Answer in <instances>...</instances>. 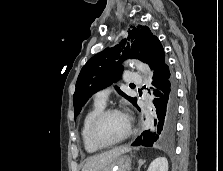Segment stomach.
Segmentation results:
<instances>
[{
    "label": "stomach",
    "instance_id": "obj_1",
    "mask_svg": "<svg viewBox=\"0 0 223 171\" xmlns=\"http://www.w3.org/2000/svg\"><path fill=\"white\" fill-rule=\"evenodd\" d=\"M132 159L128 154H121L101 171H129Z\"/></svg>",
    "mask_w": 223,
    "mask_h": 171
}]
</instances>
